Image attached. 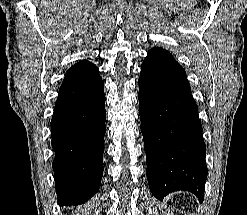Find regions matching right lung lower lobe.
<instances>
[{
	"label": "right lung lower lobe",
	"instance_id": "98d812e1",
	"mask_svg": "<svg viewBox=\"0 0 247 215\" xmlns=\"http://www.w3.org/2000/svg\"><path fill=\"white\" fill-rule=\"evenodd\" d=\"M105 120L104 85L98 69L89 61H79L65 74L51 120L59 205H81L98 192Z\"/></svg>",
	"mask_w": 247,
	"mask_h": 215
}]
</instances>
